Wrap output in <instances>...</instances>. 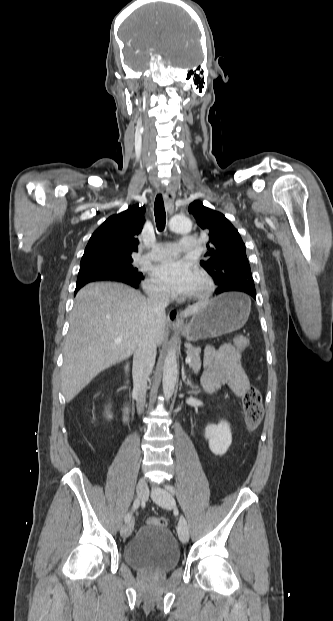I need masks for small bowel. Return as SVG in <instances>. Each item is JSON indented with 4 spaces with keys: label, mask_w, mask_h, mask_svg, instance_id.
I'll list each match as a JSON object with an SVG mask.
<instances>
[{
    "label": "small bowel",
    "mask_w": 333,
    "mask_h": 621,
    "mask_svg": "<svg viewBox=\"0 0 333 621\" xmlns=\"http://www.w3.org/2000/svg\"><path fill=\"white\" fill-rule=\"evenodd\" d=\"M204 367L201 385L205 392L211 393L223 384H227L238 397L246 392L249 380L239 353L231 345L219 349L208 348Z\"/></svg>",
    "instance_id": "obj_1"
}]
</instances>
